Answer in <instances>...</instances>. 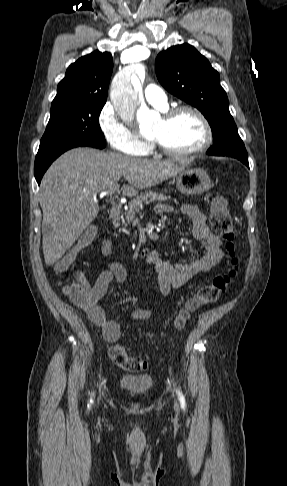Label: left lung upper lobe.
Masks as SVG:
<instances>
[{
    "instance_id": "left-lung-upper-lobe-1",
    "label": "left lung upper lobe",
    "mask_w": 287,
    "mask_h": 486,
    "mask_svg": "<svg viewBox=\"0 0 287 486\" xmlns=\"http://www.w3.org/2000/svg\"><path fill=\"white\" fill-rule=\"evenodd\" d=\"M157 78L171 94L200 110L213 133L209 155L248 157L229 112L227 94L218 72L193 46L182 44L162 51L156 58Z\"/></svg>"
}]
</instances>
